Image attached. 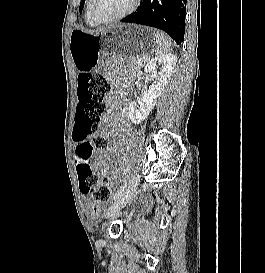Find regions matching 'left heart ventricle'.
Masks as SVG:
<instances>
[{"label":"left heart ventricle","mask_w":265,"mask_h":273,"mask_svg":"<svg viewBox=\"0 0 265 273\" xmlns=\"http://www.w3.org/2000/svg\"><path fill=\"white\" fill-rule=\"evenodd\" d=\"M133 0H95L93 11L100 18H111L125 12Z\"/></svg>","instance_id":"b2bd125f"}]
</instances>
